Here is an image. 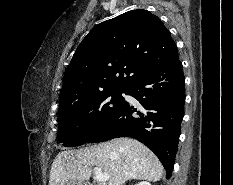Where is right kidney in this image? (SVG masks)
Masks as SVG:
<instances>
[{"mask_svg": "<svg viewBox=\"0 0 233 185\" xmlns=\"http://www.w3.org/2000/svg\"><path fill=\"white\" fill-rule=\"evenodd\" d=\"M135 185H151L149 182L143 181Z\"/></svg>", "mask_w": 233, "mask_h": 185, "instance_id": "1", "label": "right kidney"}]
</instances>
